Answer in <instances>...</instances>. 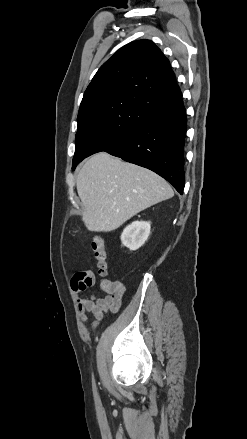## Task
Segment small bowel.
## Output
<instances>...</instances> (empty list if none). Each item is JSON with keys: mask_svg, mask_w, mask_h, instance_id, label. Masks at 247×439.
I'll use <instances>...</instances> for the list:
<instances>
[{"mask_svg": "<svg viewBox=\"0 0 247 439\" xmlns=\"http://www.w3.org/2000/svg\"><path fill=\"white\" fill-rule=\"evenodd\" d=\"M95 276L90 271L78 272L71 279V289L76 296L77 309L83 322L88 320L87 313H91L94 320L91 323L92 329L97 328L104 317L110 313H117L120 306L125 287L120 281L105 279L101 282L103 297L89 295L79 297L87 288L93 286Z\"/></svg>", "mask_w": 247, "mask_h": 439, "instance_id": "small-bowel-1", "label": "small bowel"}]
</instances>
